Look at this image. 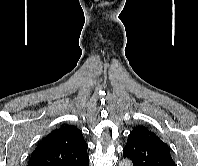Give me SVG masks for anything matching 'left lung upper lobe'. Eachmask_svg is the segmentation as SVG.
Instances as JSON below:
<instances>
[{
    "label": "left lung upper lobe",
    "instance_id": "obj_1",
    "mask_svg": "<svg viewBox=\"0 0 198 166\" xmlns=\"http://www.w3.org/2000/svg\"><path fill=\"white\" fill-rule=\"evenodd\" d=\"M123 155L132 160L133 166H176L168 145L144 126L130 132Z\"/></svg>",
    "mask_w": 198,
    "mask_h": 166
}]
</instances>
